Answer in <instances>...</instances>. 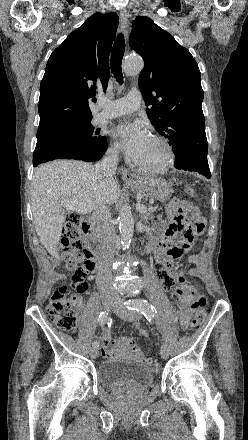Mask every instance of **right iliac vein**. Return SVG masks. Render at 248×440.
I'll return each mask as SVG.
<instances>
[{
  "label": "right iliac vein",
  "instance_id": "obj_1",
  "mask_svg": "<svg viewBox=\"0 0 248 440\" xmlns=\"http://www.w3.org/2000/svg\"><path fill=\"white\" fill-rule=\"evenodd\" d=\"M103 304H104L105 308L111 309L114 306V304H115V299L110 297V296H105L103 298ZM90 356L92 358H97V356H98V349L97 348L91 349Z\"/></svg>",
  "mask_w": 248,
  "mask_h": 440
}]
</instances>
